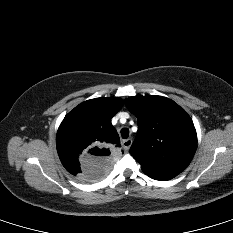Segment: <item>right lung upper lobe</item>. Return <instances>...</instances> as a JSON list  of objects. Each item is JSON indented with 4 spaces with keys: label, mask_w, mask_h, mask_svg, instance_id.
<instances>
[{
    "label": "right lung upper lobe",
    "mask_w": 233,
    "mask_h": 233,
    "mask_svg": "<svg viewBox=\"0 0 233 233\" xmlns=\"http://www.w3.org/2000/svg\"><path fill=\"white\" fill-rule=\"evenodd\" d=\"M122 105L119 97L87 100L60 124L56 137L58 155L77 179L86 183L104 179L117 163L120 139L111 119Z\"/></svg>",
    "instance_id": "right-lung-upper-lobe-1"
}]
</instances>
